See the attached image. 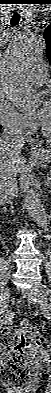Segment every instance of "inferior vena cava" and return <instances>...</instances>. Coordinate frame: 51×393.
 <instances>
[{"instance_id":"inferior-vena-cava-1","label":"inferior vena cava","mask_w":51,"mask_h":393,"mask_svg":"<svg viewBox=\"0 0 51 393\" xmlns=\"http://www.w3.org/2000/svg\"><path fill=\"white\" fill-rule=\"evenodd\" d=\"M1 145L6 150H12L21 154L24 139L17 126L11 124L4 128L1 133ZM18 196V186L15 174H6L3 170L0 175V197L1 199H13Z\"/></svg>"}]
</instances>
